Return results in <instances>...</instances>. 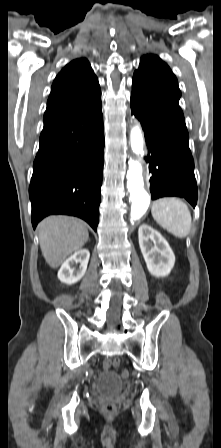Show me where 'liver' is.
<instances>
[{
  "mask_svg": "<svg viewBox=\"0 0 221 448\" xmlns=\"http://www.w3.org/2000/svg\"><path fill=\"white\" fill-rule=\"evenodd\" d=\"M89 233L84 223L68 216H49L39 224L40 249L48 265L59 267L87 242Z\"/></svg>",
  "mask_w": 221,
  "mask_h": 448,
  "instance_id": "liver-1",
  "label": "liver"
}]
</instances>
